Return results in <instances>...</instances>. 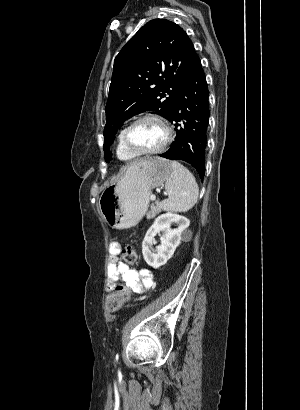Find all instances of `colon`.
I'll use <instances>...</instances> for the list:
<instances>
[{"mask_svg":"<svg viewBox=\"0 0 300 410\" xmlns=\"http://www.w3.org/2000/svg\"><path fill=\"white\" fill-rule=\"evenodd\" d=\"M121 258L125 263H134L137 260V251L132 246H125L121 250ZM131 290L124 286L118 285L106 299V308L109 311H116L121 308L130 298Z\"/></svg>","mask_w":300,"mask_h":410,"instance_id":"1","label":"colon"}]
</instances>
